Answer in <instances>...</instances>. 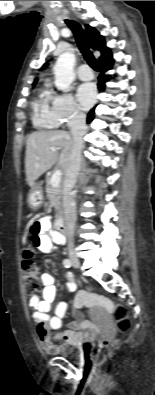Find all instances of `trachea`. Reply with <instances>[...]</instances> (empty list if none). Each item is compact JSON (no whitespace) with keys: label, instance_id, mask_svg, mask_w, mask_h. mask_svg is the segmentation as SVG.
I'll use <instances>...</instances> for the list:
<instances>
[{"label":"trachea","instance_id":"trachea-1","mask_svg":"<svg viewBox=\"0 0 155 395\" xmlns=\"http://www.w3.org/2000/svg\"><path fill=\"white\" fill-rule=\"evenodd\" d=\"M65 22L72 30L79 50L83 54L84 59L87 61L91 68H93L95 71H98L97 61L94 58L93 54L89 51L88 41L81 26L73 20H65Z\"/></svg>","mask_w":155,"mask_h":395}]
</instances>
